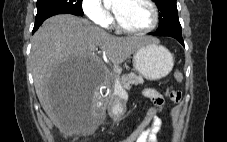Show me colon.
I'll return each mask as SVG.
<instances>
[{
    "label": "colon",
    "instance_id": "1",
    "mask_svg": "<svg viewBox=\"0 0 227 142\" xmlns=\"http://www.w3.org/2000/svg\"><path fill=\"white\" fill-rule=\"evenodd\" d=\"M176 82L182 80L181 72H176L174 75ZM160 110L156 105L151 106L144 114L136 127L117 142H138L143 134L148 130L154 120L158 117Z\"/></svg>",
    "mask_w": 227,
    "mask_h": 142
}]
</instances>
